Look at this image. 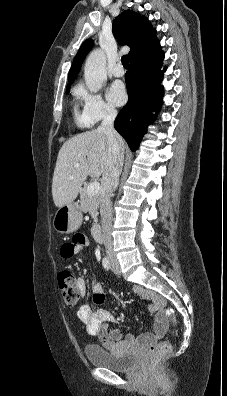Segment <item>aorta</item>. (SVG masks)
<instances>
[{"label": "aorta", "mask_w": 227, "mask_h": 396, "mask_svg": "<svg viewBox=\"0 0 227 396\" xmlns=\"http://www.w3.org/2000/svg\"><path fill=\"white\" fill-rule=\"evenodd\" d=\"M84 77L86 86L92 93H97L107 80L106 56L101 49L92 51L88 56L84 68Z\"/></svg>", "instance_id": "1"}]
</instances>
